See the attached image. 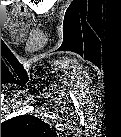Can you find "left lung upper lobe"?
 I'll return each mask as SVG.
<instances>
[{
  "label": "left lung upper lobe",
  "instance_id": "obj_1",
  "mask_svg": "<svg viewBox=\"0 0 121 137\" xmlns=\"http://www.w3.org/2000/svg\"><path fill=\"white\" fill-rule=\"evenodd\" d=\"M3 136L47 137L54 131L47 123L32 115H21L1 123Z\"/></svg>",
  "mask_w": 121,
  "mask_h": 137
}]
</instances>
